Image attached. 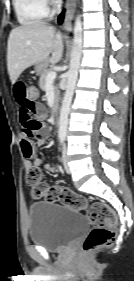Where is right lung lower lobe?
Listing matches in <instances>:
<instances>
[{
    "instance_id": "98d812e1",
    "label": "right lung lower lobe",
    "mask_w": 134,
    "mask_h": 281,
    "mask_svg": "<svg viewBox=\"0 0 134 281\" xmlns=\"http://www.w3.org/2000/svg\"><path fill=\"white\" fill-rule=\"evenodd\" d=\"M63 16H64V15H63V14H61V15H60V17H59V22H60V23H61V22H62V20H63Z\"/></svg>"
}]
</instances>
